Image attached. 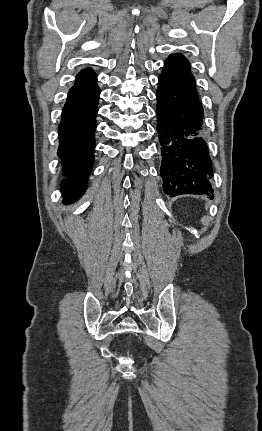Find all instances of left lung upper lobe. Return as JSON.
Segmentation results:
<instances>
[{"instance_id":"obj_1","label":"left lung upper lobe","mask_w":262,"mask_h":431,"mask_svg":"<svg viewBox=\"0 0 262 431\" xmlns=\"http://www.w3.org/2000/svg\"><path fill=\"white\" fill-rule=\"evenodd\" d=\"M160 77L198 97L195 79L190 73L189 62L182 55H170Z\"/></svg>"}]
</instances>
